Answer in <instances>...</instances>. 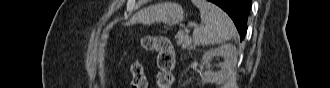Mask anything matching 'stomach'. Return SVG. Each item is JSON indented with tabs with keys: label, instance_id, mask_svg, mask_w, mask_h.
I'll list each match as a JSON object with an SVG mask.
<instances>
[{
	"label": "stomach",
	"instance_id": "0dacf381",
	"mask_svg": "<svg viewBox=\"0 0 330 88\" xmlns=\"http://www.w3.org/2000/svg\"><path fill=\"white\" fill-rule=\"evenodd\" d=\"M185 13L182 7L176 3L164 2L151 7L149 16L143 22L152 24L154 22L164 23L172 26L184 20ZM111 36V30L106 27L102 32V40L107 41Z\"/></svg>",
	"mask_w": 330,
	"mask_h": 88
}]
</instances>
